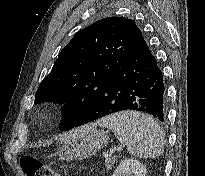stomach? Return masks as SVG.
Instances as JSON below:
<instances>
[{
	"label": "stomach",
	"instance_id": "0dacf381",
	"mask_svg": "<svg viewBox=\"0 0 205 176\" xmlns=\"http://www.w3.org/2000/svg\"><path fill=\"white\" fill-rule=\"evenodd\" d=\"M96 124L85 126L81 134L65 143L59 150V159L73 161L88 158L107 145L109 135L104 130H97Z\"/></svg>",
	"mask_w": 205,
	"mask_h": 176
}]
</instances>
